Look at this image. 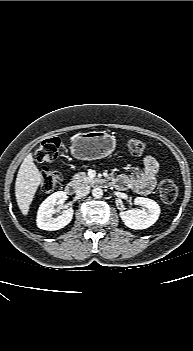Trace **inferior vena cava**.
Returning a JSON list of instances; mask_svg holds the SVG:
<instances>
[{"mask_svg": "<svg viewBox=\"0 0 193 351\" xmlns=\"http://www.w3.org/2000/svg\"><path fill=\"white\" fill-rule=\"evenodd\" d=\"M90 193V186L87 184H80L77 188H76V194L78 196H86Z\"/></svg>", "mask_w": 193, "mask_h": 351, "instance_id": "1", "label": "inferior vena cava"}]
</instances>
